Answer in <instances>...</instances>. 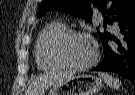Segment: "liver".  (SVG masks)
I'll list each match as a JSON object with an SVG mask.
<instances>
[{
    "label": "liver",
    "mask_w": 135,
    "mask_h": 95,
    "mask_svg": "<svg viewBox=\"0 0 135 95\" xmlns=\"http://www.w3.org/2000/svg\"><path fill=\"white\" fill-rule=\"evenodd\" d=\"M71 72L51 71L38 76L29 86L26 95H42L46 89L72 76Z\"/></svg>",
    "instance_id": "obj_1"
}]
</instances>
